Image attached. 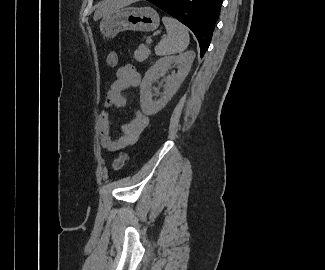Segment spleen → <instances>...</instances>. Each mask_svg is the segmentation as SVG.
Instances as JSON below:
<instances>
[{"label": "spleen", "instance_id": "3e777b00", "mask_svg": "<svg viewBox=\"0 0 325 270\" xmlns=\"http://www.w3.org/2000/svg\"><path fill=\"white\" fill-rule=\"evenodd\" d=\"M162 21L168 33L155 47L158 56L172 55L185 51L189 45V33L187 28L171 17H163Z\"/></svg>", "mask_w": 325, "mask_h": 270}]
</instances>
